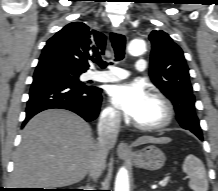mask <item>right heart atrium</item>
Returning <instances> with one entry per match:
<instances>
[{
  "instance_id": "d8ad5b80",
  "label": "right heart atrium",
  "mask_w": 218,
  "mask_h": 191,
  "mask_svg": "<svg viewBox=\"0 0 218 191\" xmlns=\"http://www.w3.org/2000/svg\"><path fill=\"white\" fill-rule=\"evenodd\" d=\"M104 122L108 125H117L120 122L121 116L118 110L114 107H107L102 113Z\"/></svg>"
}]
</instances>
